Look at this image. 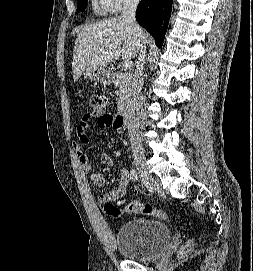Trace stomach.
I'll return each instance as SVG.
<instances>
[{
	"label": "stomach",
	"mask_w": 253,
	"mask_h": 271,
	"mask_svg": "<svg viewBox=\"0 0 253 271\" xmlns=\"http://www.w3.org/2000/svg\"><path fill=\"white\" fill-rule=\"evenodd\" d=\"M84 76L91 81H97L102 84H109L113 82V75L107 67L86 70L84 72Z\"/></svg>",
	"instance_id": "1"
}]
</instances>
